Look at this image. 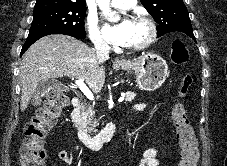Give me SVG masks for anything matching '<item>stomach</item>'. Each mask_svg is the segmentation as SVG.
I'll use <instances>...</instances> for the list:
<instances>
[{
	"mask_svg": "<svg viewBox=\"0 0 227 166\" xmlns=\"http://www.w3.org/2000/svg\"><path fill=\"white\" fill-rule=\"evenodd\" d=\"M119 67L123 70L134 71L139 88L145 91L158 89L169 74L166 61L153 52L134 60L123 61Z\"/></svg>",
	"mask_w": 227,
	"mask_h": 166,
	"instance_id": "0dacf381",
	"label": "stomach"
}]
</instances>
